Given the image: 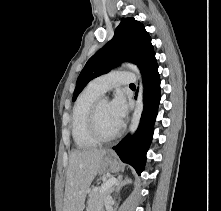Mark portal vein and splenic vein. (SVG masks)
Wrapping results in <instances>:
<instances>
[{"label": "portal vein and splenic vein", "instance_id": "1", "mask_svg": "<svg viewBox=\"0 0 221 211\" xmlns=\"http://www.w3.org/2000/svg\"><path fill=\"white\" fill-rule=\"evenodd\" d=\"M117 183L116 178H109L102 186L100 189V192H105L109 187L115 185Z\"/></svg>", "mask_w": 221, "mask_h": 211}]
</instances>
